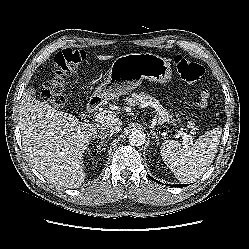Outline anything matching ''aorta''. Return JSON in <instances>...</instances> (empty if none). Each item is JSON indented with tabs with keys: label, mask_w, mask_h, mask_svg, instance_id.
<instances>
[{
	"label": "aorta",
	"mask_w": 249,
	"mask_h": 249,
	"mask_svg": "<svg viewBox=\"0 0 249 249\" xmlns=\"http://www.w3.org/2000/svg\"><path fill=\"white\" fill-rule=\"evenodd\" d=\"M128 140L132 146H142L145 143L146 135L141 130H132L128 136Z\"/></svg>",
	"instance_id": "1"
}]
</instances>
